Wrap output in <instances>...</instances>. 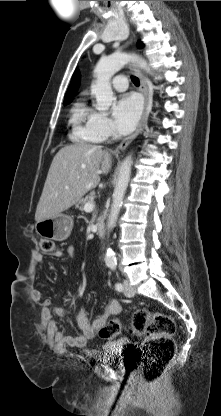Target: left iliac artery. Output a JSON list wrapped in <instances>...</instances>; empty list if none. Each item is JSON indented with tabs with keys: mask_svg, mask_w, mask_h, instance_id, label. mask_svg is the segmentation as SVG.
Returning a JSON list of instances; mask_svg holds the SVG:
<instances>
[{
	"mask_svg": "<svg viewBox=\"0 0 221 416\" xmlns=\"http://www.w3.org/2000/svg\"><path fill=\"white\" fill-rule=\"evenodd\" d=\"M109 267H110L112 270H115V269H116V264H110V265H109ZM115 288H116V290H117V291H119V292H120V291H122V290H123V285H122L121 283H119V282H118V283H116V284H115Z\"/></svg>",
	"mask_w": 221,
	"mask_h": 416,
	"instance_id": "obj_1",
	"label": "left iliac artery"
}]
</instances>
